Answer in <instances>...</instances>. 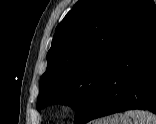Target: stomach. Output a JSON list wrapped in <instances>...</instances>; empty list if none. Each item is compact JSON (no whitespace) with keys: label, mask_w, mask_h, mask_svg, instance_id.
Returning a JSON list of instances; mask_svg holds the SVG:
<instances>
[{"label":"stomach","mask_w":156,"mask_h":124,"mask_svg":"<svg viewBox=\"0 0 156 124\" xmlns=\"http://www.w3.org/2000/svg\"><path fill=\"white\" fill-rule=\"evenodd\" d=\"M106 124H132V121L123 114H116L111 119L107 120Z\"/></svg>","instance_id":"obj_1"}]
</instances>
